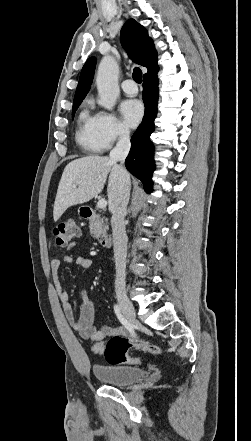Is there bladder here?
Segmentation results:
<instances>
[{"instance_id":"obj_1","label":"bladder","mask_w":251,"mask_h":441,"mask_svg":"<svg viewBox=\"0 0 251 441\" xmlns=\"http://www.w3.org/2000/svg\"><path fill=\"white\" fill-rule=\"evenodd\" d=\"M92 372L100 382L115 387L132 384L141 380L145 375L143 369L125 365L94 364Z\"/></svg>"}]
</instances>
